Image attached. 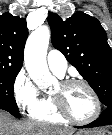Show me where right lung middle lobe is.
Masks as SVG:
<instances>
[{
	"label": "right lung middle lobe",
	"instance_id": "1",
	"mask_svg": "<svg viewBox=\"0 0 112 135\" xmlns=\"http://www.w3.org/2000/svg\"><path fill=\"white\" fill-rule=\"evenodd\" d=\"M20 69H0V107L18 111L14 99V82Z\"/></svg>",
	"mask_w": 112,
	"mask_h": 135
}]
</instances>
